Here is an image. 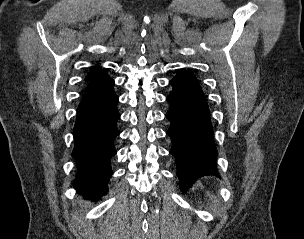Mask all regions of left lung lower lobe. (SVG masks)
Here are the masks:
<instances>
[{"mask_svg":"<svg viewBox=\"0 0 304 239\" xmlns=\"http://www.w3.org/2000/svg\"><path fill=\"white\" fill-rule=\"evenodd\" d=\"M170 84L167 135L172 140L170 153L176 159L180 189L185 193L200 177L218 176L217 149L208 104L196 78L181 72Z\"/></svg>","mask_w":304,"mask_h":239,"instance_id":"left-lung-lower-lobe-1","label":"left lung lower lobe"}]
</instances>
